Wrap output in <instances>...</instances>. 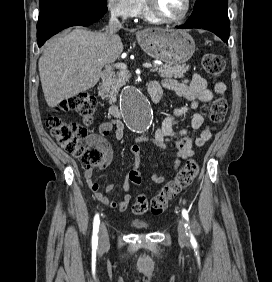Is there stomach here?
<instances>
[{
	"label": "stomach",
	"mask_w": 272,
	"mask_h": 282,
	"mask_svg": "<svg viewBox=\"0 0 272 282\" xmlns=\"http://www.w3.org/2000/svg\"><path fill=\"white\" fill-rule=\"evenodd\" d=\"M136 37L148 55L169 65L185 63L195 51L191 35L180 29L146 28L137 32Z\"/></svg>",
	"instance_id": "obj_1"
}]
</instances>
